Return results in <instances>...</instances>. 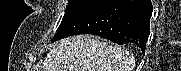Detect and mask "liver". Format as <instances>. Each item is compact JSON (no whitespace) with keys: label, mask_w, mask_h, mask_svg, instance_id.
<instances>
[{"label":"liver","mask_w":181,"mask_h":71,"mask_svg":"<svg viewBox=\"0 0 181 71\" xmlns=\"http://www.w3.org/2000/svg\"><path fill=\"white\" fill-rule=\"evenodd\" d=\"M133 67L128 51L91 35L63 39L43 62V71H132Z\"/></svg>","instance_id":"6515ba94"}]
</instances>
